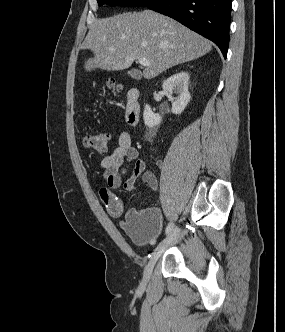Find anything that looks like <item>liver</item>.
<instances>
[{
  "label": "liver",
  "instance_id": "6515ba94",
  "mask_svg": "<svg viewBox=\"0 0 285 332\" xmlns=\"http://www.w3.org/2000/svg\"><path fill=\"white\" fill-rule=\"evenodd\" d=\"M81 49L94 54L85 62L86 71L123 70L134 60L146 58L150 66H146L143 76L152 79L173 66L207 54L212 43L165 15L144 10L94 21Z\"/></svg>",
  "mask_w": 285,
  "mask_h": 332
}]
</instances>
